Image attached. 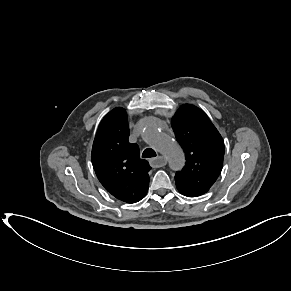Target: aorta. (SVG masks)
<instances>
[{"mask_svg":"<svg viewBox=\"0 0 291 291\" xmlns=\"http://www.w3.org/2000/svg\"><path fill=\"white\" fill-rule=\"evenodd\" d=\"M143 137L146 142L154 146L168 158L169 165L172 169L179 170L184 166V153L170 136L162 133L155 126H148L144 130Z\"/></svg>","mask_w":291,"mask_h":291,"instance_id":"762f6f07","label":"aorta"}]
</instances>
